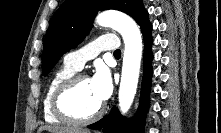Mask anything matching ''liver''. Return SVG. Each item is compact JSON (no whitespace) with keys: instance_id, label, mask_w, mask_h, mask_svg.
Returning a JSON list of instances; mask_svg holds the SVG:
<instances>
[{"instance_id":"1","label":"liver","mask_w":221,"mask_h":133,"mask_svg":"<svg viewBox=\"0 0 221 133\" xmlns=\"http://www.w3.org/2000/svg\"><path fill=\"white\" fill-rule=\"evenodd\" d=\"M43 130H48L50 133H90L88 130L74 129L70 127H51L43 126L39 128V133Z\"/></svg>"}]
</instances>
